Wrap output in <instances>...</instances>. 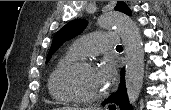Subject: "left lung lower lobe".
Listing matches in <instances>:
<instances>
[{
  "label": "left lung lower lobe",
  "mask_w": 171,
  "mask_h": 110,
  "mask_svg": "<svg viewBox=\"0 0 171 110\" xmlns=\"http://www.w3.org/2000/svg\"><path fill=\"white\" fill-rule=\"evenodd\" d=\"M124 72H125L124 69H122L121 83L119 85L117 92L110 99L105 100L103 104L112 105L111 107H114V105L117 104L119 105L121 110H132V107L129 104L128 99H127Z\"/></svg>",
  "instance_id": "1"
}]
</instances>
